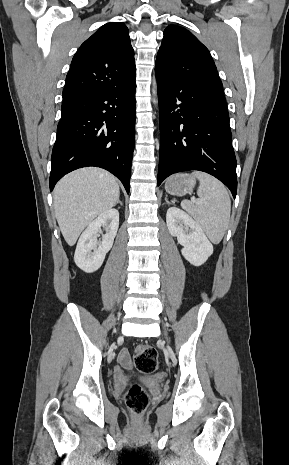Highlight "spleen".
<instances>
[{
    "mask_svg": "<svg viewBox=\"0 0 289 465\" xmlns=\"http://www.w3.org/2000/svg\"><path fill=\"white\" fill-rule=\"evenodd\" d=\"M200 185L197 190L199 200H183L181 207L186 210L203 229L209 240L221 242L229 224L231 200L225 186L213 176L195 171Z\"/></svg>",
    "mask_w": 289,
    "mask_h": 465,
    "instance_id": "1",
    "label": "spleen"
}]
</instances>
